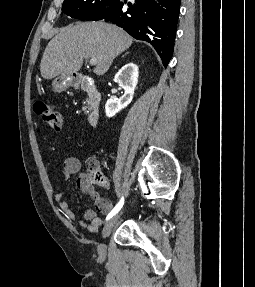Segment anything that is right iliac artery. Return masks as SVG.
I'll return each mask as SVG.
<instances>
[{"mask_svg": "<svg viewBox=\"0 0 255 287\" xmlns=\"http://www.w3.org/2000/svg\"><path fill=\"white\" fill-rule=\"evenodd\" d=\"M124 198L122 197L119 203L114 207V209L108 214L106 219H110L112 216H114L123 206Z\"/></svg>", "mask_w": 255, "mask_h": 287, "instance_id": "obj_1", "label": "right iliac artery"}]
</instances>
